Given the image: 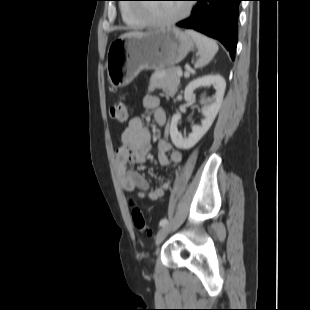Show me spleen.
<instances>
[{"label":"spleen","instance_id":"spleen-1","mask_svg":"<svg viewBox=\"0 0 310 310\" xmlns=\"http://www.w3.org/2000/svg\"><path fill=\"white\" fill-rule=\"evenodd\" d=\"M186 33L192 37L198 48L199 59L195 63V68L204 67L218 51L216 41L193 30H187Z\"/></svg>","mask_w":310,"mask_h":310}]
</instances>
